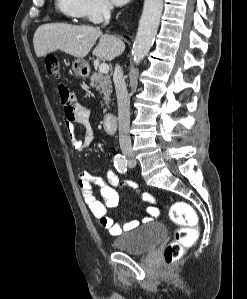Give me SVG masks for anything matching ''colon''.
<instances>
[{
  "label": "colon",
  "instance_id": "5ec220e1",
  "mask_svg": "<svg viewBox=\"0 0 247 299\" xmlns=\"http://www.w3.org/2000/svg\"><path fill=\"white\" fill-rule=\"evenodd\" d=\"M45 65L49 75L57 76L60 72V63L56 56L48 55L45 58ZM137 193H139L137 191ZM170 220L178 226L173 240L167 245L164 251V258L167 264L178 260L184 249L190 246L198 236L197 216L193 208L184 202H175L169 209Z\"/></svg>",
  "mask_w": 247,
  "mask_h": 299
}]
</instances>
